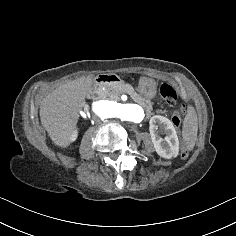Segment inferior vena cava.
Wrapping results in <instances>:
<instances>
[{
  "label": "inferior vena cava",
  "mask_w": 236,
  "mask_h": 236,
  "mask_svg": "<svg viewBox=\"0 0 236 236\" xmlns=\"http://www.w3.org/2000/svg\"><path fill=\"white\" fill-rule=\"evenodd\" d=\"M92 119L94 120V123L96 124V125H99L102 121L101 120H99V118L96 116V115H93L92 116Z\"/></svg>",
  "instance_id": "inferior-vena-cava-1"
}]
</instances>
